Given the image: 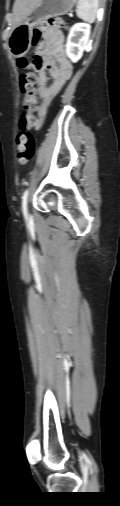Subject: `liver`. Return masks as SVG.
<instances>
[{
  "label": "liver",
  "instance_id": "1",
  "mask_svg": "<svg viewBox=\"0 0 120 506\" xmlns=\"http://www.w3.org/2000/svg\"><path fill=\"white\" fill-rule=\"evenodd\" d=\"M41 0H15L11 28L17 27Z\"/></svg>",
  "mask_w": 120,
  "mask_h": 506
}]
</instances>
